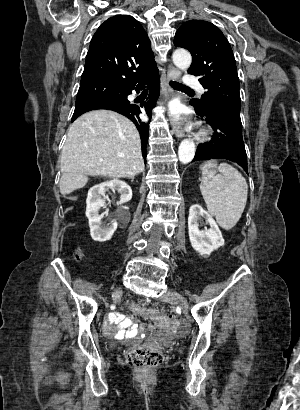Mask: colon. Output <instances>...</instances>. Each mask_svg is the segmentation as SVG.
Returning a JSON list of instances; mask_svg holds the SVG:
<instances>
[{"instance_id":"5ec220e1","label":"colon","mask_w":300,"mask_h":410,"mask_svg":"<svg viewBox=\"0 0 300 410\" xmlns=\"http://www.w3.org/2000/svg\"><path fill=\"white\" fill-rule=\"evenodd\" d=\"M78 257V256H76ZM136 311H141L149 315H156L150 321L154 325L163 326L174 322L175 317L172 312H153L146 308H140L135 304L130 305ZM161 353L151 344H143L127 354V363L142 372L150 371L159 366L162 362Z\"/></svg>"}]
</instances>
